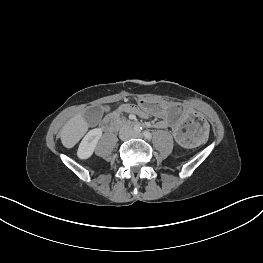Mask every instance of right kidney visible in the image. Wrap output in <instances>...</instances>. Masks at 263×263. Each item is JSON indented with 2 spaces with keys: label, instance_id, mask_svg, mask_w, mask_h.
I'll return each mask as SVG.
<instances>
[{
  "label": "right kidney",
  "instance_id": "1",
  "mask_svg": "<svg viewBox=\"0 0 263 263\" xmlns=\"http://www.w3.org/2000/svg\"><path fill=\"white\" fill-rule=\"evenodd\" d=\"M102 136V130L95 128L90 130L82 139L77 155L80 159H88L93 154L99 139Z\"/></svg>",
  "mask_w": 263,
  "mask_h": 263
}]
</instances>
